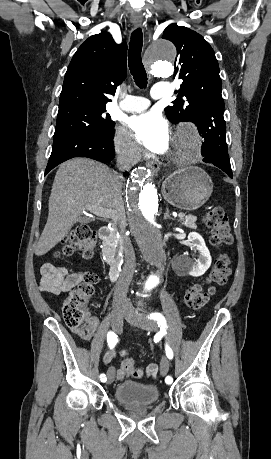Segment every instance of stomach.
I'll return each mask as SVG.
<instances>
[{
    "instance_id": "1",
    "label": "stomach",
    "mask_w": 271,
    "mask_h": 459,
    "mask_svg": "<svg viewBox=\"0 0 271 459\" xmlns=\"http://www.w3.org/2000/svg\"><path fill=\"white\" fill-rule=\"evenodd\" d=\"M161 190L164 200L171 206L181 210H198L209 200L213 182L204 170L190 166L167 176Z\"/></svg>"
}]
</instances>
